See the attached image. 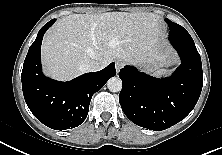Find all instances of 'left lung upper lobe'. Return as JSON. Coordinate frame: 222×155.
Returning a JSON list of instances; mask_svg holds the SVG:
<instances>
[{"label":"left lung upper lobe","instance_id":"left-lung-upper-lobe-1","mask_svg":"<svg viewBox=\"0 0 222 155\" xmlns=\"http://www.w3.org/2000/svg\"><path fill=\"white\" fill-rule=\"evenodd\" d=\"M165 21L168 23L169 28H172L173 26H178V24H176V23H174V22H171V21L168 20V19H165Z\"/></svg>","mask_w":222,"mask_h":155}]
</instances>
